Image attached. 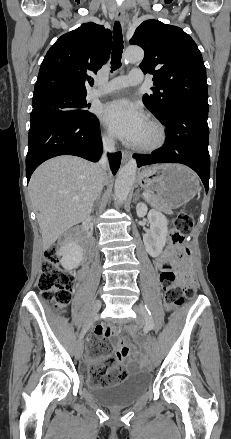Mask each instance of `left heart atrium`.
<instances>
[{
	"instance_id": "obj_1",
	"label": "left heart atrium",
	"mask_w": 231,
	"mask_h": 439,
	"mask_svg": "<svg viewBox=\"0 0 231 439\" xmlns=\"http://www.w3.org/2000/svg\"><path fill=\"white\" fill-rule=\"evenodd\" d=\"M103 123L121 140L138 144L148 124L139 106L126 98L106 104L102 110Z\"/></svg>"
}]
</instances>
